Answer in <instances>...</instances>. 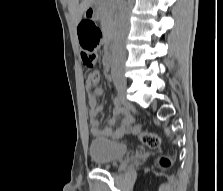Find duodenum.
I'll list each match as a JSON object with an SVG mask.
<instances>
[{"label":"duodenum","mask_w":223,"mask_h":191,"mask_svg":"<svg viewBox=\"0 0 223 191\" xmlns=\"http://www.w3.org/2000/svg\"><path fill=\"white\" fill-rule=\"evenodd\" d=\"M85 14L88 18H93L96 15V8L94 6H89L86 8ZM113 42L110 37L106 40L105 55L107 58H112Z\"/></svg>","instance_id":"duodenum-1"}]
</instances>
